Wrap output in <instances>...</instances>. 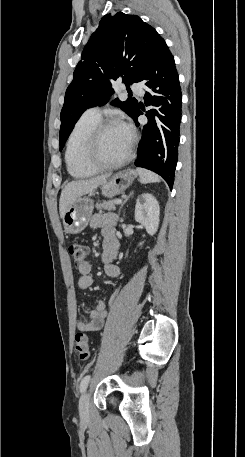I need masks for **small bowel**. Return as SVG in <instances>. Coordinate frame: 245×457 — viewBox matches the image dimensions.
Returning a JSON list of instances; mask_svg holds the SVG:
<instances>
[{"label":"small bowel","mask_w":245,"mask_h":457,"mask_svg":"<svg viewBox=\"0 0 245 457\" xmlns=\"http://www.w3.org/2000/svg\"><path fill=\"white\" fill-rule=\"evenodd\" d=\"M117 223V216L113 213H97L92 216L90 226L101 230L103 236V254L102 262L104 271L109 277H119L121 269L114 263L117 254V239L115 234V226ZM78 286L81 289L91 287L93 278L91 275V264L84 261L78 265ZM89 320L85 321L78 319L76 326L83 332L99 331L107 317L106 303L104 300H99L95 306L87 308Z\"/></svg>","instance_id":"1"}]
</instances>
